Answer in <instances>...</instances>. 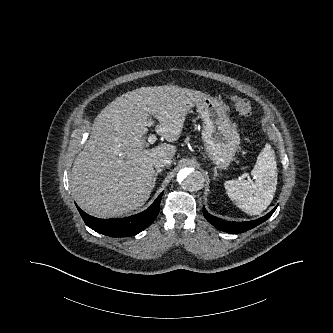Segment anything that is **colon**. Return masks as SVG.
<instances>
[{
  "label": "colon",
  "mask_w": 333,
  "mask_h": 333,
  "mask_svg": "<svg viewBox=\"0 0 333 333\" xmlns=\"http://www.w3.org/2000/svg\"><path fill=\"white\" fill-rule=\"evenodd\" d=\"M230 99L234 103L235 108L240 115L248 117L252 114V106L247 99L241 98L236 95H231Z\"/></svg>",
  "instance_id": "5ec220e1"
}]
</instances>
